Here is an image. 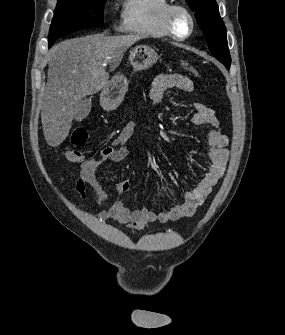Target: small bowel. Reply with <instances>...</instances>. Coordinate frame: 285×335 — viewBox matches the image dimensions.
I'll return each instance as SVG.
<instances>
[{
  "label": "small bowel",
  "mask_w": 285,
  "mask_h": 335,
  "mask_svg": "<svg viewBox=\"0 0 285 335\" xmlns=\"http://www.w3.org/2000/svg\"><path fill=\"white\" fill-rule=\"evenodd\" d=\"M171 90L191 94L193 84L188 77L181 74L160 75L152 83L149 91L150 100L154 105H158ZM192 106L194 112L190 117V122L196 126H208L210 128L207 134L209 165L198 184L185 193L184 202L162 212H155L147 208L130 209L120 200H116L107 206V194L98 179L97 168L101 162H119L126 157L127 149L125 145L134 134L137 126L135 121H130L122 127L111 145L100 151L99 158L89 159L82 164L80 177L76 181V191L82 198L86 197L87 189H91L98 202L103 206L102 210L94 214L96 218L129 224L132 230L139 231L148 223H166L190 217L205 202L219 179L224 175L229 155L227 149L228 138L221 131L219 120L212 108L200 102H193ZM128 190V181L123 180L116 184V191L119 195L127 193Z\"/></svg>",
  "instance_id": "1"
}]
</instances>
